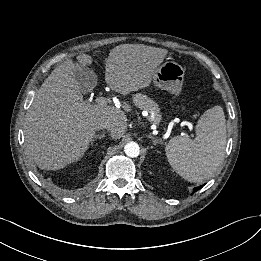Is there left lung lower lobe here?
<instances>
[{"label":"left lung lower lobe","mask_w":261,"mask_h":261,"mask_svg":"<svg viewBox=\"0 0 261 261\" xmlns=\"http://www.w3.org/2000/svg\"><path fill=\"white\" fill-rule=\"evenodd\" d=\"M201 187H202V186L195 187V188L193 189V193L196 192V191H198Z\"/></svg>","instance_id":"0a47b994"}]
</instances>
